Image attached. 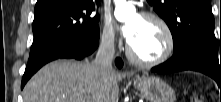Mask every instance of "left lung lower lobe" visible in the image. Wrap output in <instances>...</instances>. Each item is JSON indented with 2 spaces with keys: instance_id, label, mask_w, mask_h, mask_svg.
I'll return each mask as SVG.
<instances>
[{
  "instance_id": "1",
  "label": "left lung lower lobe",
  "mask_w": 221,
  "mask_h": 102,
  "mask_svg": "<svg viewBox=\"0 0 221 102\" xmlns=\"http://www.w3.org/2000/svg\"><path fill=\"white\" fill-rule=\"evenodd\" d=\"M194 70L212 77L221 88V60L208 50L198 46H187L174 52L165 63L152 68L153 72L171 73Z\"/></svg>"
}]
</instances>
